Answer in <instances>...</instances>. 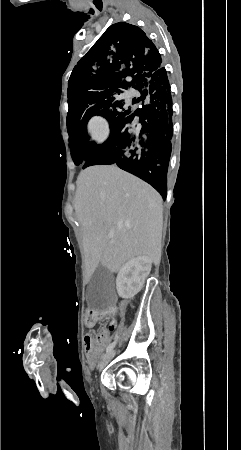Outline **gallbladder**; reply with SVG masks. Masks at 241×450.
Wrapping results in <instances>:
<instances>
[{
    "mask_svg": "<svg viewBox=\"0 0 241 450\" xmlns=\"http://www.w3.org/2000/svg\"><path fill=\"white\" fill-rule=\"evenodd\" d=\"M87 310H111L116 303L115 276L111 270L98 266L87 289Z\"/></svg>",
    "mask_w": 241,
    "mask_h": 450,
    "instance_id": "bac80fb5",
    "label": "gallbladder"
}]
</instances>
